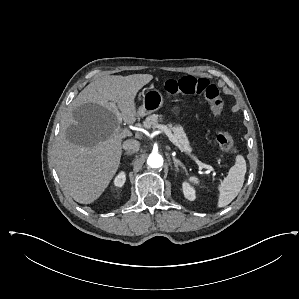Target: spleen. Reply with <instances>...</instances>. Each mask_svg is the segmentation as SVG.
Instances as JSON below:
<instances>
[{"mask_svg": "<svg viewBox=\"0 0 299 299\" xmlns=\"http://www.w3.org/2000/svg\"><path fill=\"white\" fill-rule=\"evenodd\" d=\"M246 173V161L242 155H237L235 165L228 172L227 177L219 185V197L217 207H225L231 203L240 192ZM189 181L193 184H199L196 176H190Z\"/></svg>", "mask_w": 299, "mask_h": 299, "instance_id": "3e777b00", "label": "spleen"}]
</instances>
